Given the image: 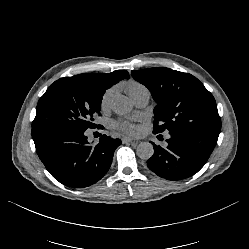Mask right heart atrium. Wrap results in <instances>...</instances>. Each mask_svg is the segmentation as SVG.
Returning <instances> with one entry per match:
<instances>
[{
    "mask_svg": "<svg viewBox=\"0 0 249 249\" xmlns=\"http://www.w3.org/2000/svg\"><path fill=\"white\" fill-rule=\"evenodd\" d=\"M115 91L116 88L114 86H111L103 92L100 100V107L102 110H106L110 107V103L115 94Z\"/></svg>",
    "mask_w": 249,
    "mask_h": 249,
    "instance_id": "obj_1",
    "label": "right heart atrium"
}]
</instances>
